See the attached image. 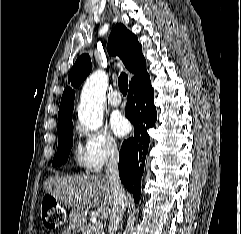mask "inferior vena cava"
I'll return each mask as SVG.
<instances>
[{
    "label": "inferior vena cava",
    "mask_w": 241,
    "mask_h": 234,
    "mask_svg": "<svg viewBox=\"0 0 241 234\" xmlns=\"http://www.w3.org/2000/svg\"><path fill=\"white\" fill-rule=\"evenodd\" d=\"M118 149L116 144H111L106 161V176L110 181L113 191V208L109 217L108 234H115L127 206V197L121 184L118 170Z\"/></svg>",
    "instance_id": "1"
}]
</instances>
